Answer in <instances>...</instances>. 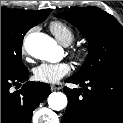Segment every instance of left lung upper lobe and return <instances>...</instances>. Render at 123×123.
I'll return each mask as SVG.
<instances>
[{"label": "left lung upper lobe", "instance_id": "left-lung-upper-lobe-1", "mask_svg": "<svg viewBox=\"0 0 123 123\" xmlns=\"http://www.w3.org/2000/svg\"><path fill=\"white\" fill-rule=\"evenodd\" d=\"M76 26L89 42L86 61L73 76L87 78L108 69H123V27L97 7L75 8L56 15Z\"/></svg>", "mask_w": 123, "mask_h": 123}]
</instances>
